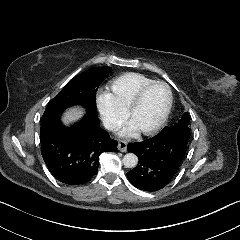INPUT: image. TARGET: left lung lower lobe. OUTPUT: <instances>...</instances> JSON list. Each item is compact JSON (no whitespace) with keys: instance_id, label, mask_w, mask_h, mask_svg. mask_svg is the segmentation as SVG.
<instances>
[{"instance_id":"left-lung-lower-lobe-1","label":"left lung lower lobe","mask_w":240,"mask_h":240,"mask_svg":"<svg viewBox=\"0 0 240 240\" xmlns=\"http://www.w3.org/2000/svg\"><path fill=\"white\" fill-rule=\"evenodd\" d=\"M189 137L163 132L142 141L129 143L127 150L138 156V165L127 173L129 181L143 191L164 188L175 176L186 153Z\"/></svg>"}]
</instances>
